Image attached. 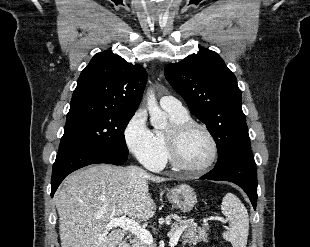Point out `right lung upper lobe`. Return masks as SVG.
<instances>
[{"label": "right lung upper lobe", "mask_w": 310, "mask_h": 247, "mask_svg": "<svg viewBox=\"0 0 310 247\" xmlns=\"http://www.w3.org/2000/svg\"><path fill=\"white\" fill-rule=\"evenodd\" d=\"M147 81L146 70L110 51L97 53L81 72L70 109L135 113Z\"/></svg>", "instance_id": "cb5924a9"}]
</instances>
